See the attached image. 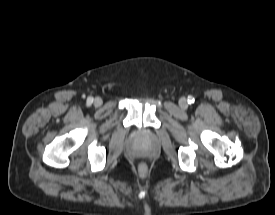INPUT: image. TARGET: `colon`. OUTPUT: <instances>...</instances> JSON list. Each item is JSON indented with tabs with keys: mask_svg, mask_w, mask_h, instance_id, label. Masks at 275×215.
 Returning a JSON list of instances; mask_svg holds the SVG:
<instances>
[{
	"mask_svg": "<svg viewBox=\"0 0 275 215\" xmlns=\"http://www.w3.org/2000/svg\"><path fill=\"white\" fill-rule=\"evenodd\" d=\"M147 170H148V167H147V165H146L145 163H141V164L138 166V171H139V173H141V174L146 173Z\"/></svg>",
	"mask_w": 275,
	"mask_h": 215,
	"instance_id": "1",
	"label": "colon"
}]
</instances>
